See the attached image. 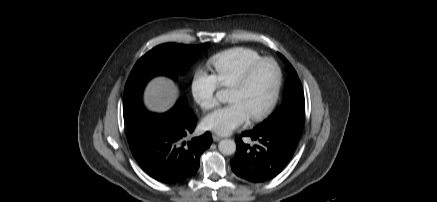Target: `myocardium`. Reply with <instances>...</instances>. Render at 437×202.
<instances>
[{
	"label": "myocardium",
	"instance_id": "1",
	"mask_svg": "<svg viewBox=\"0 0 437 202\" xmlns=\"http://www.w3.org/2000/svg\"><path fill=\"white\" fill-rule=\"evenodd\" d=\"M263 63H271L275 67L276 83L272 96L268 101V103L258 113L249 117V120L251 122H258L263 120L265 117H267L270 114V112L273 110L274 106L277 103L281 91L282 81H283V73L279 63L274 58L271 57H262L258 60H255L247 66V68L243 71V73L231 85V88H241L247 85L255 70L258 68V66H260Z\"/></svg>",
	"mask_w": 437,
	"mask_h": 202
}]
</instances>
